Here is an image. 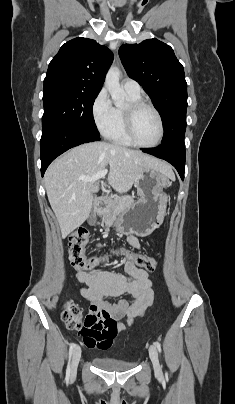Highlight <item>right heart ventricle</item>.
<instances>
[{
    "instance_id": "obj_1",
    "label": "right heart ventricle",
    "mask_w": 235,
    "mask_h": 404,
    "mask_svg": "<svg viewBox=\"0 0 235 404\" xmlns=\"http://www.w3.org/2000/svg\"><path fill=\"white\" fill-rule=\"evenodd\" d=\"M127 93V92H126ZM127 96L132 101H139L141 100V95H134L127 93ZM105 137L112 141L115 144L123 145V146H133L131 141L128 139L125 128H124V115H123V108H114V116L112 120L111 127L108 131L104 134Z\"/></svg>"
}]
</instances>
